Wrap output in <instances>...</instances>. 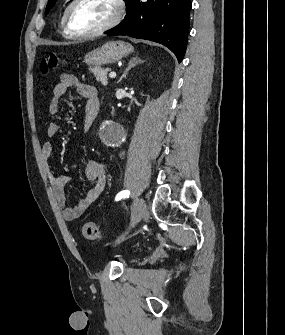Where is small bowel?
Wrapping results in <instances>:
<instances>
[{
  "label": "small bowel",
  "mask_w": 285,
  "mask_h": 335,
  "mask_svg": "<svg viewBox=\"0 0 285 335\" xmlns=\"http://www.w3.org/2000/svg\"><path fill=\"white\" fill-rule=\"evenodd\" d=\"M69 89H75L78 95L86 100V113L83 120V128L88 131L95 118L89 115L95 105H99V98L95 87L81 83L74 75L62 74L60 81L54 86L52 98L49 103V113L57 115L60 109V101ZM59 132V124L52 121L47 126L48 137H54ZM54 147L51 142H46L42 147V155L46 163L47 175L56 202L62 212L63 218L67 221L78 219L101 195L106 184L107 166L99 161H89L85 166L86 178L93 183L86 196L76 206L67 205L65 186L67 179L62 174L52 170L50 161L53 157Z\"/></svg>",
  "instance_id": "1"
}]
</instances>
